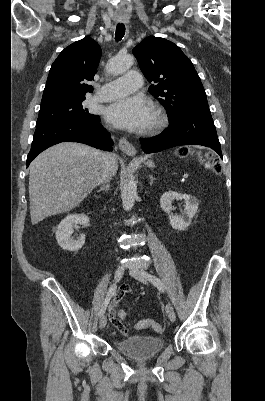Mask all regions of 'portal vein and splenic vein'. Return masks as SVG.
<instances>
[{
    "mask_svg": "<svg viewBox=\"0 0 265 401\" xmlns=\"http://www.w3.org/2000/svg\"><path fill=\"white\" fill-rule=\"evenodd\" d=\"M183 178H189V175L188 174H184Z\"/></svg>",
    "mask_w": 265,
    "mask_h": 401,
    "instance_id": "obj_1",
    "label": "portal vein and splenic vein"
}]
</instances>
